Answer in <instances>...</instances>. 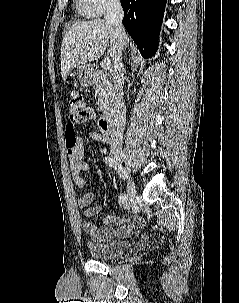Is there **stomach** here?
<instances>
[{
    "label": "stomach",
    "instance_id": "stomach-1",
    "mask_svg": "<svg viewBox=\"0 0 239 303\" xmlns=\"http://www.w3.org/2000/svg\"><path fill=\"white\" fill-rule=\"evenodd\" d=\"M92 68L89 65H81L77 67V78L81 85L89 86L93 83Z\"/></svg>",
    "mask_w": 239,
    "mask_h": 303
}]
</instances>
